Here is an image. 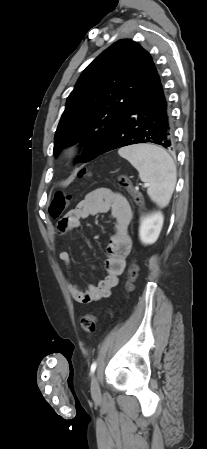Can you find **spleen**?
Here are the masks:
<instances>
[{
	"instance_id": "obj_1",
	"label": "spleen",
	"mask_w": 207,
	"mask_h": 449,
	"mask_svg": "<svg viewBox=\"0 0 207 449\" xmlns=\"http://www.w3.org/2000/svg\"><path fill=\"white\" fill-rule=\"evenodd\" d=\"M139 172L141 181L149 184L147 194L159 206H166L174 192L177 173L172 157L161 147L137 144L118 150Z\"/></svg>"
}]
</instances>
